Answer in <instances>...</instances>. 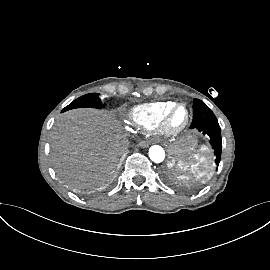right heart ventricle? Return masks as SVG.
Instances as JSON below:
<instances>
[{"label": "right heart ventricle", "instance_id": "obj_1", "mask_svg": "<svg viewBox=\"0 0 270 270\" xmlns=\"http://www.w3.org/2000/svg\"><path fill=\"white\" fill-rule=\"evenodd\" d=\"M175 104L173 101H158L137 105L130 110L129 119L139 129L152 131L161 126L165 114Z\"/></svg>", "mask_w": 270, "mask_h": 270}]
</instances>
